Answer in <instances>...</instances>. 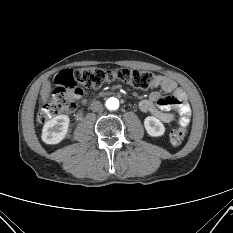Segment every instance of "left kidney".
<instances>
[{
  "instance_id": "obj_1",
  "label": "left kidney",
  "mask_w": 233,
  "mask_h": 233,
  "mask_svg": "<svg viewBox=\"0 0 233 233\" xmlns=\"http://www.w3.org/2000/svg\"><path fill=\"white\" fill-rule=\"evenodd\" d=\"M144 126L147 133L152 137L162 136L165 132L163 123L154 116H148L144 120Z\"/></svg>"
}]
</instances>
